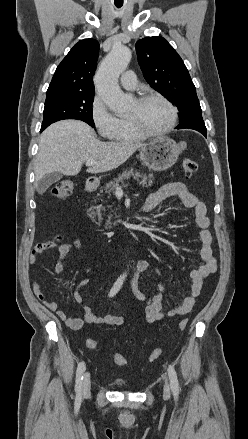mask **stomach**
Returning a JSON list of instances; mask_svg holds the SVG:
<instances>
[{
	"label": "stomach",
	"instance_id": "1",
	"mask_svg": "<svg viewBox=\"0 0 248 439\" xmlns=\"http://www.w3.org/2000/svg\"><path fill=\"white\" fill-rule=\"evenodd\" d=\"M182 149L170 138H158L139 149L140 159L153 171H165L176 163Z\"/></svg>",
	"mask_w": 248,
	"mask_h": 439
}]
</instances>
